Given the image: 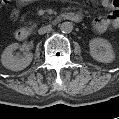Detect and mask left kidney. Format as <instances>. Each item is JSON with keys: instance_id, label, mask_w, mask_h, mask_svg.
<instances>
[{"instance_id": "left-kidney-1", "label": "left kidney", "mask_w": 119, "mask_h": 119, "mask_svg": "<svg viewBox=\"0 0 119 119\" xmlns=\"http://www.w3.org/2000/svg\"><path fill=\"white\" fill-rule=\"evenodd\" d=\"M89 47L90 55L99 62L109 63L114 59L112 46L107 40L101 38L92 39L89 42Z\"/></svg>"}]
</instances>
